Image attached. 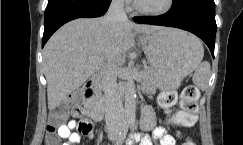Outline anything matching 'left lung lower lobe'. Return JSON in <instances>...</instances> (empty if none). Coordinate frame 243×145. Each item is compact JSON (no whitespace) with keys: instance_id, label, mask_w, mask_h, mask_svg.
Wrapping results in <instances>:
<instances>
[{"instance_id":"obj_1","label":"left lung lower lobe","mask_w":243,"mask_h":145,"mask_svg":"<svg viewBox=\"0 0 243 145\" xmlns=\"http://www.w3.org/2000/svg\"><path fill=\"white\" fill-rule=\"evenodd\" d=\"M137 23L162 25L187 30L200 37L209 47L214 57L216 21L215 17H193L181 12L179 9H171L164 15L154 17H134Z\"/></svg>"}]
</instances>
